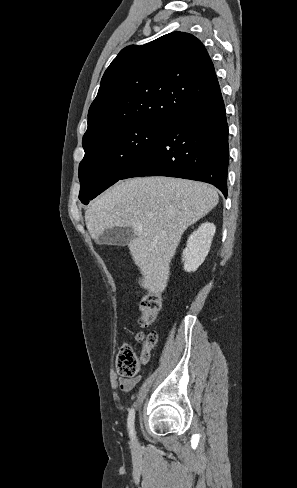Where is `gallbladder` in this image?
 Wrapping results in <instances>:
<instances>
[{
	"label": "gallbladder",
	"instance_id": "1",
	"mask_svg": "<svg viewBox=\"0 0 297 488\" xmlns=\"http://www.w3.org/2000/svg\"><path fill=\"white\" fill-rule=\"evenodd\" d=\"M135 236L131 227H112L104 230L98 238V243L108 245H126Z\"/></svg>",
	"mask_w": 297,
	"mask_h": 488
}]
</instances>
